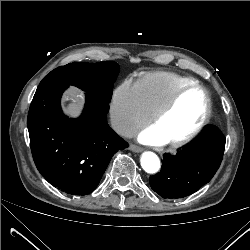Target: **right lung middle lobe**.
Listing matches in <instances>:
<instances>
[{
    "mask_svg": "<svg viewBox=\"0 0 250 250\" xmlns=\"http://www.w3.org/2000/svg\"><path fill=\"white\" fill-rule=\"evenodd\" d=\"M118 74L119 65L113 61L73 62L51 71L43 78L37 89L52 84L74 85L109 103L112 97L113 83Z\"/></svg>",
    "mask_w": 250,
    "mask_h": 250,
    "instance_id": "dd1d6c3e",
    "label": "right lung middle lobe"
}]
</instances>
